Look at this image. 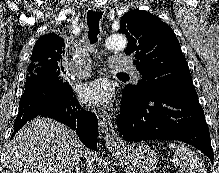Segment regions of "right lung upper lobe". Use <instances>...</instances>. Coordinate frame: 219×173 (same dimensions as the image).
I'll return each mask as SVG.
<instances>
[{
	"label": "right lung upper lobe",
	"mask_w": 219,
	"mask_h": 173,
	"mask_svg": "<svg viewBox=\"0 0 219 173\" xmlns=\"http://www.w3.org/2000/svg\"><path fill=\"white\" fill-rule=\"evenodd\" d=\"M65 43L63 38L55 33L40 37L34 45L31 55V64L41 62L56 63L62 66L65 56Z\"/></svg>",
	"instance_id": "right-lung-upper-lobe-1"
}]
</instances>
